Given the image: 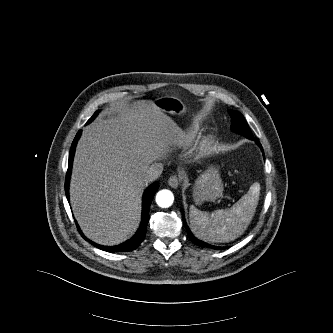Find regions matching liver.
<instances>
[{
    "label": "liver",
    "mask_w": 333,
    "mask_h": 333,
    "mask_svg": "<svg viewBox=\"0 0 333 333\" xmlns=\"http://www.w3.org/2000/svg\"><path fill=\"white\" fill-rule=\"evenodd\" d=\"M117 116L85 128L70 185L71 205L83 233L117 245L138 228L145 174L179 143L176 123L153 101L120 108Z\"/></svg>",
    "instance_id": "1"
}]
</instances>
